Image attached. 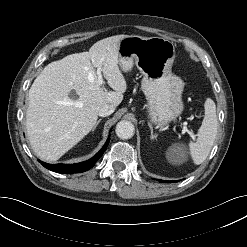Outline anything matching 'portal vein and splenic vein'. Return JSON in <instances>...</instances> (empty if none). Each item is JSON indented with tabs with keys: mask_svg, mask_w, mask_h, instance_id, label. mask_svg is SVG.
<instances>
[{
	"mask_svg": "<svg viewBox=\"0 0 247 247\" xmlns=\"http://www.w3.org/2000/svg\"><path fill=\"white\" fill-rule=\"evenodd\" d=\"M97 78H98V84L100 86H102L103 83H104V79H103V75L101 74V69L100 68L97 69ZM183 125H184V127H183L184 131H187L189 134H191V132L188 131V129L186 127L187 122H184Z\"/></svg>",
	"mask_w": 247,
	"mask_h": 247,
	"instance_id": "obj_1",
	"label": "portal vein and splenic vein"
}]
</instances>
